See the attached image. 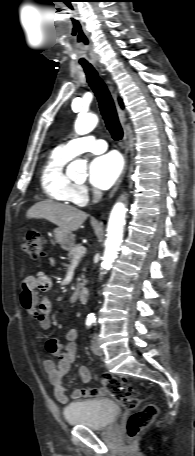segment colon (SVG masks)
Segmentation results:
<instances>
[{"instance_id": "5ec220e1", "label": "colon", "mask_w": 195, "mask_h": 456, "mask_svg": "<svg viewBox=\"0 0 195 456\" xmlns=\"http://www.w3.org/2000/svg\"><path fill=\"white\" fill-rule=\"evenodd\" d=\"M44 237L31 232L24 240L21 250L31 259H40L44 256ZM102 384L107 392L124 408L136 409L141 400L134 394L132 387L123 377H116L110 373L102 375ZM158 414V408L154 404H147L139 411L133 413L127 422L129 437H135L140 431L148 427Z\"/></svg>"}]
</instances>
